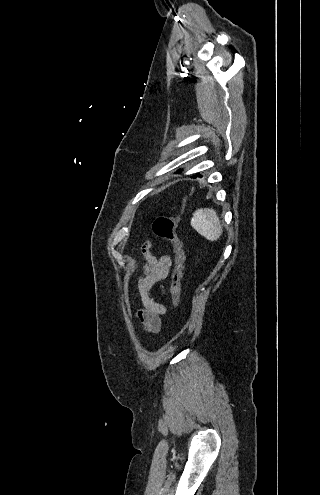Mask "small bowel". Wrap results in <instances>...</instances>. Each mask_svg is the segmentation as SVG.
<instances>
[{"instance_id": "small-bowel-1", "label": "small bowel", "mask_w": 320, "mask_h": 495, "mask_svg": "<svg viewBox=\"0 0 320 495\" xmlns=\"http://www.w3.org/2000/svg\"><path fill=\"white\" fill-rule=\"evenodd\" d=\"M142 256L144 264L137 287L144 308L137 312V317L145 332L157 333L161 328V317L166 313V306L154 299L152 289L160 284L161 293L166 294L164 281L169 275L172 259L169 255L157 258L152 252L150 242L143 245Z\"/></svg>"}]
</instances>
